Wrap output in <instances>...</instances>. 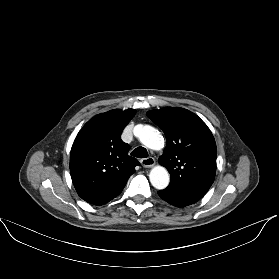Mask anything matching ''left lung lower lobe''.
<instances>
[{"instance_id": "left-lung-lower-lobe-1", "label": "left lung lower lobe", "mask_w": 279, "mask_h": 279, "mask_svg": "<svg viewBox=\"0 0 279 279\" xmlns=\"http://www.w3.org/2000/svg\"><path fill=\"white\" fill-rule=\"evenodd\" d=\"M158 194L163 200H165L169 204L174 205L176 207H185V206L191 205L196 202V201H193V200H190L187 198L168 194V193L164 192L163 190L158 191Z\"/></svg>"}]
</instances>
